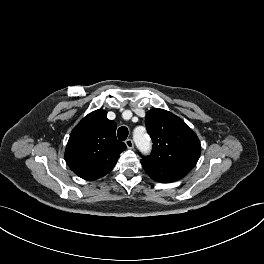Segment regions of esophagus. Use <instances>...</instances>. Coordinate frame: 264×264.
<instances>
[{
	"mask_svg": "<svg viewBox=\"0 0 264 264\" xmlns=\"http://www.w3.org/2000/svg\"><path fill=\"white\" fill-rule=\"evenodd\" d=\"M125 144H126L127 148H129V149L134 148V142H133L132 139H127V140L125 141Z\"/></svg>",
	"mask_w": 264,
	"mask_h": 264,
	"instance_id": "obj_1",
	"label": "esophagus"
}]
</instances>
